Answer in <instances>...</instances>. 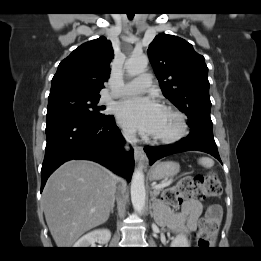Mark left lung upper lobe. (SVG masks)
<instances>
[{"label": "left lung upper lobe", "mask_w": 261, "mask_h": 261, "mask_svg": "<svg viewBox=\"0 0 261 261\" xmlns=\"http://www.w3.org/2000/svg\"><path fill=\"white\" fill-rule=\"evenodd\" d=\"M148 56L165 97L184 112L190 127L212 126L208 68L193 46L173 35H157Z\"/></svg>", "instance_id": "1"}]
</instances>
